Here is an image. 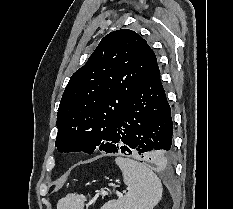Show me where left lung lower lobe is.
<instances>
[{"mask_svg": "<svg viewBox=\"0 0 233 209\" xmlns=\"http://www.w3.org/2000/svg\"><path fill=\"white\" fill-rule=\"evenodd\" d=\"M172 133L171 109L155 58L112 123L101 151L135 154L147 164H165L170 158Z\"/></svg>", "mask_w": 233, "mask_h": 209, "instance_id": "obj_1", "label": "left lung lower lobe"}]
</instances>
